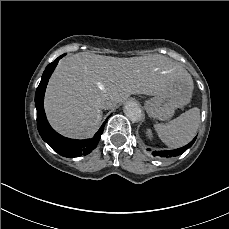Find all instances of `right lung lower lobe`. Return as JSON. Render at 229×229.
Returning a JSON list of instances; mask_svg holds the SVG:
<instances>
[{"instance_id": "obj_1", "label": "right lung lower lobe", "mask_w": 229, "mask_h": 229, "mask_svg": "<svg viewBox=\"0 0 229 229\" xmlns=\"http://www.w3.org/2000/svg\"><path fill=\"white\" fill-rule=\"evenodd\" d=\"M63 56H65V54L58 57L53 63L47 65L45 71L43 72L41 82L35 94V106L37 109V128L42 139L58 154L71 158L87 155L96 148L108 118L102 124L94 137L87 140H75L63 137L50 126L44 111V94L48 80L58 64V61Z\"/></svg>"}]
</instances>
